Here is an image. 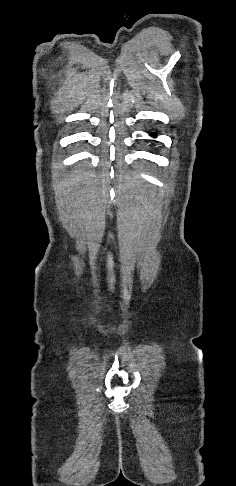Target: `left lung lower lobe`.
Segmentation results:
<instances>
[{
    "label": "left lung lower lobe",
    "instance_id": "0a47b994",
    "mask_svg": "<svg viewBox=\"0 0 236 486\" xmlns=\"http://www.w3.org/2000/svg\"><path fill=\"white\" fill-rule=\"evenodd\" d=\"M150 135H151L152 137H156V134H155V133H152V134H150Z\"/></svg>",
    "mask_w": 236,
    "mask_h": 486
}]
</instances>
